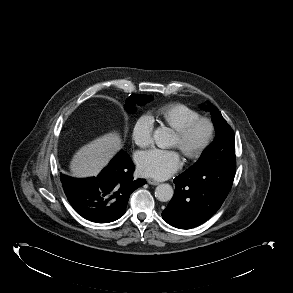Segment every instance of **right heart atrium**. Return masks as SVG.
<instances>
[{
    "instance_id": "d8ad5b80",
    "label": "right heart atrium",
    "mask_w": 293,
    "mask_h": 293,
    "mask_svg": "<svg viewBox=\"0 0 293 293\" xmlns=\"http://www.w3.org/2000/svg\"><path fill=\"white\" fill-rule=\"evenodd\" d=\"M154 129L153 118L148 114L139 116L132 126V138L140 147H146L152 142Z\"/></svg>"
}]
</instances>
